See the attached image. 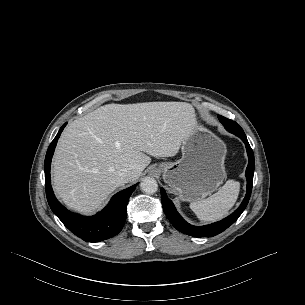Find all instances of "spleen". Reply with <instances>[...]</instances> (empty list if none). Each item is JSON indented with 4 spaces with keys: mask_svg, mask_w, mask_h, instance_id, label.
Returning <instances> with one entry per match:
<instances>
[{
    "mask_svg": "<svg viewBox=\"0 0 305 305\" xmlns=\"http://www.w3.org/2000/svg\"><path fill=\"white\" fill-rule=\"evenodd\" d=\"M240 183L228 180L218 192L204 200L191 202L190 208L205 222H215L224 218L237 201Z\"/></svg>",
    "mask_w": 305,
    "mask_h": 305,
    "instance_id": "1",
    "label": "spleen"
}]
</instances>
